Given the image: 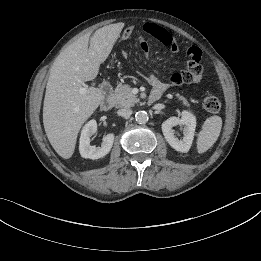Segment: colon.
Returning <instances> with one entry per match:
<instances>
[{
    "mask_svg": "<svg viewBox=\"0 0 261 261\" xmlns=\"http://www.w3.org/2000/svg\"><path fill=\"white\" fill-rule=\"evenodd\" d=\"M135 32V27L133 25H128L126 30L121 33L120 41L122 43H127L129 41L130 35ZM203 107L206 111L215 113L221 108V101L215 95H208L203 100Z\"/></svg>",
    "mask_w": 261,
    "mask_h": 261,
    "instance_id": "5ec220e1",
    "label": "colon"
}]
</instances>
